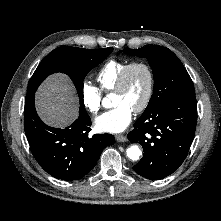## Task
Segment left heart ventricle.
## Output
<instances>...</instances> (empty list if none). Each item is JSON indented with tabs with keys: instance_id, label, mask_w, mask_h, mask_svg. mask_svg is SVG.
<instances>
[{
	"instance_id": "b2bd125f",
	"label": "left heart ventricle",
	"mask_w": 221,
	"mask_h": 221,
	"mask_svg": "<svg viewBox=\"0 0 221 221\" xmlns=\"http://www.w3.org/2000/svg\"><path fill=\"white\" fill-rule=\"evenodd\" d=\"M148 87V77L141 67L133 68L123 91L113 94V104H125L133 111L143 101Z\"/></svg>"
}]
</instances>
